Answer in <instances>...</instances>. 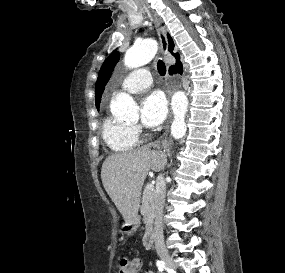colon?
<instances>
[{
	"instance_id": "5ec220e1",
	"label": "colon",
	"mask_w": 285,
	"mask_h": 273,
	"mask_svg": "<svg viewBox=\"0 0 285 273\" xmlns=\"http://www.w3.org/2000/svg\"><path fill=\"white\" fill-rule=\"evenodd\" d=\"M140 261L138 259H122L118 273H137L140 268Z\"/></svg>"
}]
</instances>
